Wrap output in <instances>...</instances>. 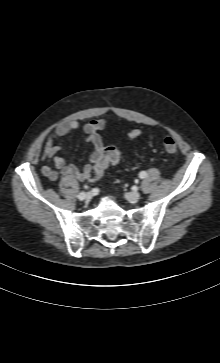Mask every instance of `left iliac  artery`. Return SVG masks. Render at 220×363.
I'll return each mask as SVG.
<instances>
[{
	"label": "left iliac artery",
	"instance_id": "left-iliac-artery-1",
	"mask_svg": "<svg viewBox=\"0 0 220 363\" xmlns=\"http://www.w3.org/2000/svg\"><path fill=\"white\" fill-rule=\"evenodd\" d=\"M146 176H147V173H146L145 171H141V172L139 173V177H140L141 179L146 178Z\"/></svg>",
	"mask_w": 220,
	"mask_h": 363
}]
</instances>
